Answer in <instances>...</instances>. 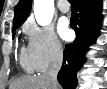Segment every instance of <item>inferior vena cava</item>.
<instances>
[{
	"mask_svg": "<svg viewBox=\"0 0 107 89\" xmlns=\"http://www.w3.org/2000/svg\"><path fill=\"white\" fill-rule=\"evenodd\" d=\"M62 63H63V49L61 45H57L50 67L44 73V76L51 83L54 89H56L58 86L57 74L62 66Z\"/></svg>",
	"mask_w": 107,
	"mask_h": 89,
	"instance_id": "602c4592",
	"label": "inferior vena cava"
}]
</instances>
